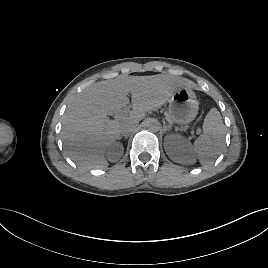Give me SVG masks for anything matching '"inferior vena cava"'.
Masks as SVG:
<instances>
[{
  "label": "inferior vena cava",
  "mask_w": 268,
  "mask_h": 268,
  "mask_svg": "<svg viewBox=\"0 0 268 268\" xmlns=\"http://www.w3.org/2000/svg\"><path fill=\"white\" fill-rule=\"evenodd\" d=\"M137 122L134 121H125L120 126V132L123 135H129L131 132H133L137 126Z\"/></svg>",
  "instance_id": "obj_1"
}]
</instances>
